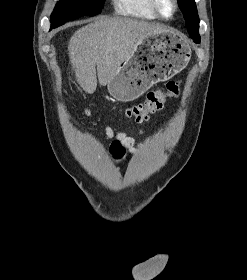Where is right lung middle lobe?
Returning <instances> with one entry per match:
<instances>
[{"mask_svg": "<svg viewBox=\"0 0 247 280\" xmlns=\"http://www.w3.org/2000/svg\"><path fill=\"white\" fill-rule=\"evenodd\" d=\"M104 0H60L51 15V29L80 16L101 13Z\"/></svg>", "mask_w": 247, "mask_h": 280, "instance_id": "obj_1", "label": "right lung middle lobe"}]
</instances>
